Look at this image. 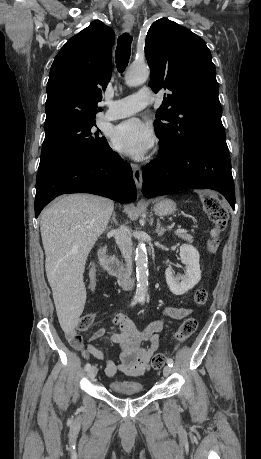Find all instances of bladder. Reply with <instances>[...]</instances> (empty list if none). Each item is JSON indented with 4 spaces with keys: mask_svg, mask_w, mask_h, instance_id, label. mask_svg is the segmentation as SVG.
<instances>
[{
    "mask_svg": "<svg viewBox=\"0 0 261 459\" xmlns=\"http://www.w3.org/2000/svg\"><path fill=\"white\" fill-rule=\"evenodd\" d=\"M109 389L116 394H138L144 391V385L134 380H114L109 383Z\"/></svg>",
    "mask_w": 261,
    "mask_h": 459,
    "instance_id": "1",
    "label": "bladder"
}]
</instances>
